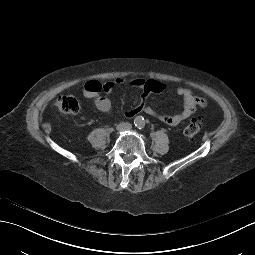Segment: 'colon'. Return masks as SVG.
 <instances>
[{"label": "colon", "mask_w": 255, "mask_h": 255, "mask_svg": "<svg viewBox=\"0 0 255 255\" xmlns=\"http://www.w3.org/2000/svg\"><path fill=\"white\" fill-rule=\"evenodd\" d=\"M53 107L59 113L65 115H75L80 111L79 100L72 95H64L58 97L54 103ZM203 121L201 119L193 118L185 127L184 134L188 138H193L198 135L203 129Z\"/></svg>", "instance_id": "obj_1"}]
</instances>
